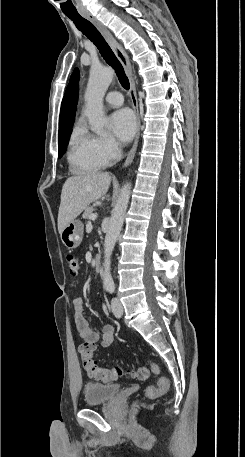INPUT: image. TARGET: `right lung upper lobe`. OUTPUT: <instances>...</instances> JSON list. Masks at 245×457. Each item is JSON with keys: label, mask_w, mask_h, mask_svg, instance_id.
Listing matches in <instances>:
<instances>
[{"label": "right lung upper lobe", "mask_w": 245, "mask_h": 457, "mask_svg": "<svg viewBox=\"0 0 245 457\" xmlns=\"http://www.w3.org/2000/svg\"><path fill=\"white\" fill-rule=\"evenodd\" d=\"M79 70L76 68L70 78L61 104L59 128L73 124L78 102Z\"/></svg>", "instance_id": "cb5924a9"}]
</instances>
